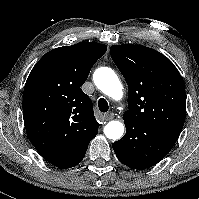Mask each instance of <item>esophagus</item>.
<instances>
[{
  "label": "esophagus",
  "instance_id": "obj_1",
  "mask_svg": "<svg viewBox=\"0 0 199 199\" xmlns=\"http://www.w3.org/2000/svg\"><path fill=\"white\" fill-rule=\"evenodd\" d=\"M113 118H114V114L111 113V112L106 113V114L104 115V119H105L106 121L112 120Z\"/></svg>",
  "mask_w": 199,
  "mask_h": 199
}]
</instances>
